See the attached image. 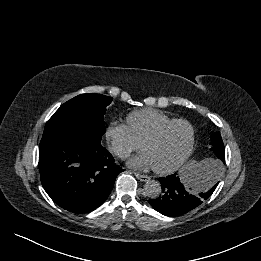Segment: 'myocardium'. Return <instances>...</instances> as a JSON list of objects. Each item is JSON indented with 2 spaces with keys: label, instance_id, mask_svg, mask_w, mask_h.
<instances>
[{
  "label": "myocardium",
  "instance_id": "obj_1",
  "mask_svg": "<svg viewBox=\"0 0 261 261\" xmlns=\"http://www.w3.org/2000/svg\"><path fill=\"white\" fill-rule=\"evenodd\" d=\"M175 124H185L188 126L190 130V140H189L188 147L185 153L182 155V157L174 164L163 168L153 167V170L158 174H170L176 171L177 169H179L190 158L194 150L195 141H196V130L194 125L190 121L183 118L172 119L160 125L155 131L149 134L141 142V148L144 149L146 144L158 140L169 127Z\"/></svg>",
  "mask_w": 261,
  "mask_h": 261
}]
</instances>
